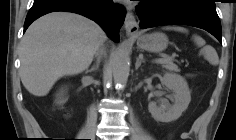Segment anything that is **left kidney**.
Segmentation results:
<instances>
[{"label":"left kidney","instance_id":"obj_1","mask_svg":"<svg viewBox=\"0 0 236 140\" xmlns=\"http://www.w3.org/2000/svg\"><path fill=\"white\" fill-rule=\"evenodd\" d=\"M163 84L174 93L175 102L169 107L158 106L156 102H150L149 112L153 118L161 122H171L178 119L191 101V95L186 80L178 74L165 73Z\"/></svg>","mask_w":236,"mask_h":140}]
</instances>
